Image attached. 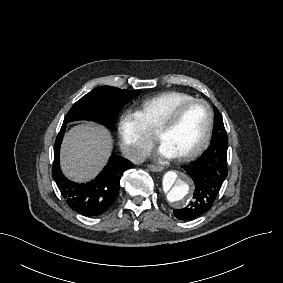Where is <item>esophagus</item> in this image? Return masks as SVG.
<instances>
[{
	"instance_id": "1",
	"label": "esophagus",
	"mask_w": 283,
	"mask_h": 283,
	"mask_svg": "<svg viewBox=\"0 0 283 283\" xmlns=\"http://www.w3.org/2000/svg\"><path fill=\"white\" fill-rule=\"evenodd\" d=\"M147 167H148L149 170L154 171V172H159V171L163 170V167L160 166V165L149 164V165H147Z\"/></svg>"
}]
</instances>
